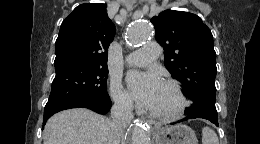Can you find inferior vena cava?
<instances>
[{"mask_svg": "<svg viewBox=\"0 0 260 144\" xmlns=\"http://www.w3.org/2000/svg\"><path fill=\"white\" fill-rule=\"evenodd\" d=\"M133 103L125 98H117L111 108L112 127L116 133L121 136L123 130L133 120ZM119 144V142H117Z\"/></svg>", "mask_w": 260, "mask_h": 144, "instance_id": "1", "label": "inferior vena cava"}]
</instances>
